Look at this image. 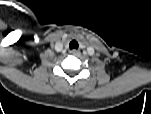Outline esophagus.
<instances>
[{
    "label": "esophagus",
    "instance_id": "34e87169",
    "mask_svg": "<svg viewBox=\"0 0 151 114\" xmlns=\"http://www.w3.org/2000/svg\"><path fill=\"white\" fill-rule=\"evenodd\" d=\"M70 53L73 54V55H77L80 52L78 50H76V49H73V50L70 51Z\"/></svg>",
    "mask_w": 151,
    "mask_h": 114
}]
</instances>
